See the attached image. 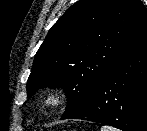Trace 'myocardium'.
Wrapping results in <instances>:
<instances>
[{"mask_svg":"<svg viewBox=\"0 0 147 131\" xmlns=\"http://www.w3.org/2000/svg\"><path fill=\"white\" fill-rule=\"evenodd\" d=\"M65 100V94L61 90L55 88L46 90L40 97L42 107L48 110H55L62 107Z\"/></svg>","mask_w":147,"mask_h":131,"instance_id":"obj_1","label":"myocardium"}]
</instances>
